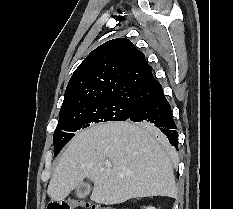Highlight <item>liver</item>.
I'll use <instances>...</instances> for the list:
<instances>
[{
  "label": "liver",
  "instance_id": "liver-1",
  "mask_svg": "<svg viewBox=\"0 0 233 209\" xmlns=\"http://www.w3.org/2000/svg\"><path fill=\"white\" fill-rule=\"evenodd\" d=\"M156 134L153 127L129 121L97 124L77 133L59 159L47 194L60 202L87 177L94 183L90 200L99 204L176 198L171 160Z\"/></svg>",
  "mask_w": 233,
  "mask_h": 209
}]
</instances>
